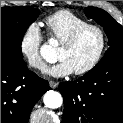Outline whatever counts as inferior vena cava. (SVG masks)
<instances>
[{
	"mask_svg": "<svg viewBox=\"0 0 123 123\" xmlns=\"http://www.w3.org/2000/svg\"><path fill=\"white\" fill-rule=\"evenodd\" d=\"M34 65L38 66V67H42L43 68V65L41 66V63L40 62H36Z\"/></svg>",
	"mask_w": 123,
	"mask_h": 123,
	"instance_id": "obj_1",
	"label": "inferior vena cava"
}]
</instances>
